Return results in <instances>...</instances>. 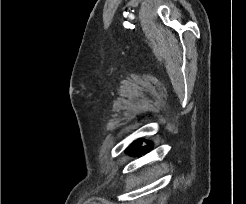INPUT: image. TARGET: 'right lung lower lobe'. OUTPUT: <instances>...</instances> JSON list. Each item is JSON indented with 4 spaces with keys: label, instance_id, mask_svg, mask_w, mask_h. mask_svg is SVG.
<instances>
[{
    "label": "right lung lower lobe",
    "instance_id": "1",
    "mask_svg": "<svg viewBox=\"0 0 246 204\" xmlns=\"http://www.w3.org/2000/svg\"><path fill=\"white\" fill-rule=\"evenodd\" d=\"M148 145L142 147V140L141 141H135L127 150L128 154H132L135 156H139L142 153H146L149 151L152 147L149 145V142H147Z\"/></svg>",
    "mask_w": 246,
    "mask_h": 204
}]
</instances>
